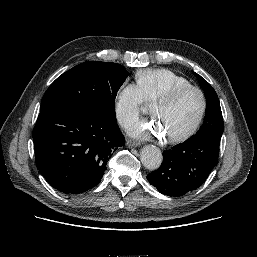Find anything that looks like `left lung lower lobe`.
Wrapping results in <instances>:
<instances>
[{"label":"left lung lower lobe","mask_w":257,"mask_h":257,"mask_svg":"<svg viewBox=\"0 0 257 257\" xmlns=\"http://www.w3.org/2000/svg\"><path fill=\"white\" fill-rule=\"evenodd\" d=\"M220 140H186L163 152V162L147 176L164 195L179 197L199 188L218 163Z\"/></svg>","instance_id":"1"}]
</instances>
